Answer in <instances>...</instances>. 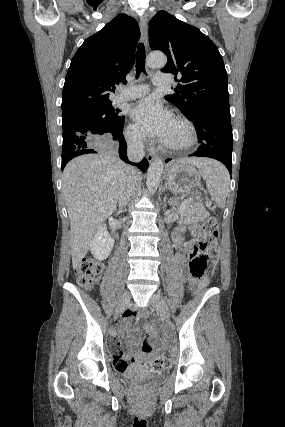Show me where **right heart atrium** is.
<instances>
[{"label": "right heart atrium", "instance_id": "1", "mask_svg": "<svg viewBox=\"0 0 285 427\" xmlns=\"http://www.w3.org/2000/svg\"><path fill=\"white\" fill-rule=\"evenodd\" d=\"M127 138L132 144L140 146L145 141V134L135 124H130L127 129Z\"/></svg>", "mask_w": 285, "mask_h": 427}]
</instances>
